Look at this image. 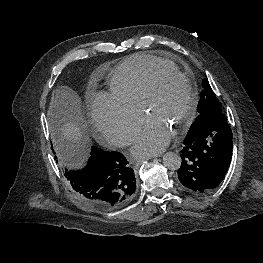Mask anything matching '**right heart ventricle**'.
<instances>
[{
	"label": "right heart ventricle",
	"mask_w": 263,
	"mask_h": 263,
	"mask_svg": "<svg viewBox=\"0 0 263 263\" xmlns=\"http://www.w3.org/2000/svg\"><path fill=\"white\" fill-rule=\"evenodd\" d=\"M176 68V65L154 56L138 54L120 63L109 75L111 94L130 106L140 108L146 85L158 67Z\"/></svg>",
	"instance_id": "1"
}]
</instances>
